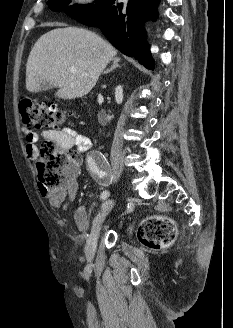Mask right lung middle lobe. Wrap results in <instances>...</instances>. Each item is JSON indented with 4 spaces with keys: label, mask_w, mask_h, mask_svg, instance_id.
<instances>
[{
    "label": "right lung middle lobe",
    "mask_w": 233,
    "mask_h": 328,
    "mask_svg": "<svg viewBox=\"0 0 233 328\" xmlns=\"http://www.w3.org/2000/svg\"><path fill=\"white\" fill-rule=\"evenodd\" d=\"M99 1V0H97ZM71 2V0H49L48 4L50 5V9L53 11H62L66 9L68 14L81 12L89 9L90 7L94 6L95 4L89 5H78L75 4L73 6L67 7V5Z\"/></svg>",
    "instance_id": "right-lung-middle-lobe-1"
}]
</instances>
